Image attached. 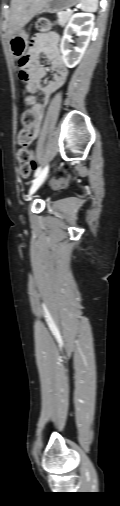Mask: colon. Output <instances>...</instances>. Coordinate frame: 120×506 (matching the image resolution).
<instances>
[{
	"label": "colon",
	"instance_id": "obj_1",
	"mask_svg": "<svg viewBox=\"0 0 120 506\" xmlns=\"http://www.w3.org/2000/svg\"><path fill=\"white\" fill-rule=\"evenodd\" d=\"M51 26V23L44 18L37 20L36 28L39 31H47ZM27 57H23L19 61L20 76L25 79L26 68H27ZM34 102L32 97H27L25 103L31 105ZM21 121L23 128L18 133V144L19 149L17 151V160L19 163V174L22 177H28L35 166V161L32 152L29 150V145L33 141L32 128L36 121L34 112L30 109L25 110L22 113Z\"/></svg>",
	"mask_w": 120,
	"mask_h": 506
}]
</instances>
